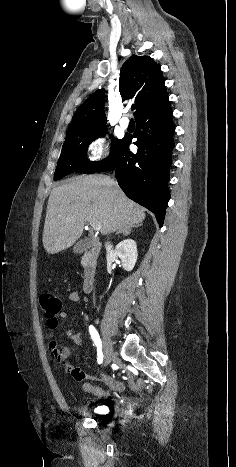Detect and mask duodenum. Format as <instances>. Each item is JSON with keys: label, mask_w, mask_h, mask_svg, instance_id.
<instances>
[{"label": "duodenum", "mask_w": 236, "mask_h": 467, "mask_svg": "<svg viewBox=\"0 0 236 467\" xmlns=\"http://www.w3.org/2000/svg\"><path fill=\"white\" fill-rule=\"evenodd\" d=\"M100 249L101 245L97 241H91L87 244L86 263L82 278V289L85 293H89L93 288Z\"/></svg>", "instance_id": "obj_1"}]
</instances>
